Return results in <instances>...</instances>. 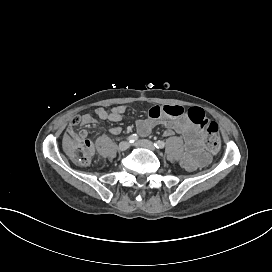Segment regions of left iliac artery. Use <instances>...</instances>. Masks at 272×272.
<instances>
[{"label": "left iliac artery", "instance_id": "1", "mask_svg": "<svg viewBox=\"0 0 272 272\" xmlns=\"http://www.w3.org/2000/svg\"><path fill=\"white\" fill-rule=\"evenodd\" d=\"M154 145H155V147L157 148V149H162V148H164L165 147V143L163 142V141H156L155 143H154Z\"/></svg>", "mask_w": 272, "mask_h": 272}]
</instances>
